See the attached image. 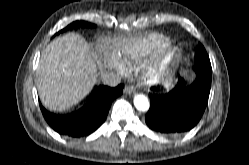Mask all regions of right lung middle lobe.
<instances>
[{
  "label": "right lung middle lobe",
  "instance_id": "right-lung-middle-lobe-1",
  "mask_svg": "<svg viewBox=\"0 0 249 165\" xmlns=\"http://www.w3.org/2000/svg\"><path fill=\"white\" fill-rule=\"evenodd\" d=\"M80 23H82V24H84V25H88L87 22L75 21V22H72L71 24H69L67 27H65V28L62 29L61 31H59L58 34H59V33H62V32H65V31L69 30L71 27H73V26H75V25H78V24H80Z\"/></svg>",
  "mask_w": 249,
  "mask_h": 165
}]
</instances>
